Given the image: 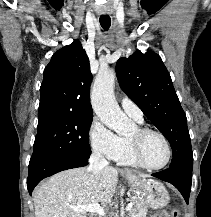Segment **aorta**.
Masks as SVG:
<instances>
[{"mask_svg":"<svg viewBox=\"0 0 211 217\" xmlns=\"http://www.w3.org/2000/svg\"><path fill=\"white\" fill-rule=\"evenodd\" d=\"M115 72L99 70L91 92L92 107L100 120L119 135L131 128V121L122 112L114 96Z\"/></svg>","mask_w":211,"mask_h":217,"instance_id":"aorta-1","label":"aorta"}]
</instances>
